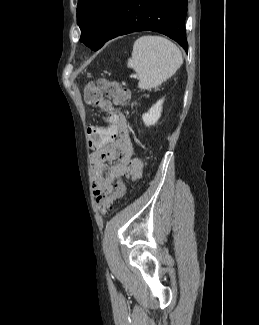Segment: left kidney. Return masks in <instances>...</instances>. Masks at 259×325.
I'll return each instance as SVG.
<instances>
[{
  "label": "left kidney",
  "mask_w": 259,
  "mask_h": 325,
  "mask_svg": "<svg viewBox=\"0 0 259 325\" xmlns=\"http://www.w3.org/2000/svg\"><path fill=\"white\" fill-rule=\"evenodd\" d=\"M163 101V99L159 100L147 113L143 114L142 119L146 126L155 125L157 123L161 116Z\"/></svg>",
  "instance_id": "1"
}]
</instances>
